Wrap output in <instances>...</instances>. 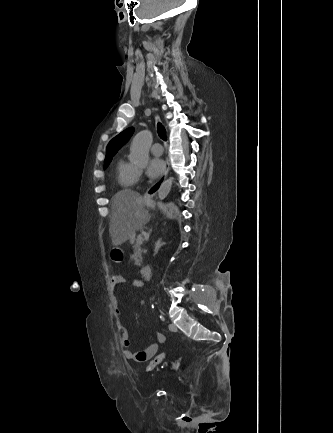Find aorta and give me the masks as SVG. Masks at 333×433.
I'll return each mask as SVG.
<instances>
[{"instance_id": "obj_1", "label": "aorta", "mask_w": 333, "mask_h": 433, "mask_svg": "<svg viewBox=\"0 0 333 433\" xmlns=\"http://www.w3.org/2000/svg\"><path fill=\"white\" fill-rule=\"evenodd\" d=\"M151 133L141 131L134 138L130 146V160L139 167H145L149 163ZM172 187V179L166 180L158 190V198L163 200L167 197Z\"/></svg>"}]
</instances>
